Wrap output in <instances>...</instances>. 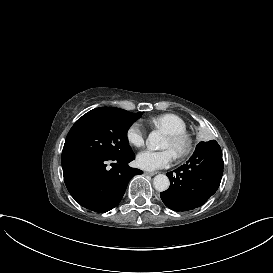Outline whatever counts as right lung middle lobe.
Segmentation results:
<instances>
[{
	"label": "right lung middle lobe",
	"mask_w": 273,
	"mask_h": 273,
	"mask_svg": "<svg viewBox=\"0 0 273 273\" xmlns=\"http://www.w3.org/2000/svg\"><path fill=\"white\" fill-rule=\"evenodd\" d=\"M141 113L115 107L93 109L70 129L62 151V164L78 157L112 158L131 150L126 132Z\"/></svg>",
	"instance_id": "obj_1"
}]
</instances>
